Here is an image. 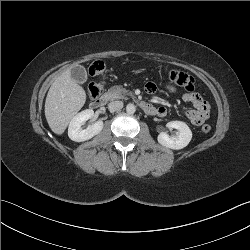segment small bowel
I'll return each instance as SVG.
<instances>
[{
  "label": "small bowel",
  "mask_w": 250,
  "mask_h": 250,
  "mask_svg": "<svg viewBox=\"0 0 250 250\" xmlns=\"http://www.w3.org/2000/svg\"><path fill=\"white\" fill-rule=\"evenodd\" d=\"M170 91H173V87H168ZM177 89L176 87L174 88ZM146 91L149 94H152L156 91V86L154 83L146 84ZM184 102L191 103L193 105V109L184 110V116L196 126H200L205 122V120L209 116V104L205 101L198 93L196 92H187L182 96ZM157 114L160 117L166 115L167 110L165 107L161 106L156 108Z\"/></svg>",
  "instance_id": "1"
}]
</instances>
